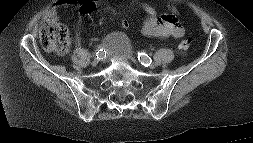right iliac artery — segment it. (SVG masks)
<instances>
[{
  "mask_svg": "<svg viewBox=\"0 0 253 143\" xmlns=\"http://www.w3.org/2000/svg\"><path fill=\"white\" fill-rule=\"evenodd\" d=\"M102 52H103V48H100V49L97 51V53H96L97 58H99V56H101L100 54H102Z\"/></svg>",
  "mask_w": 253,
  "mask_h": 143,
  "instance_id": "right-iliac-artery-1",
  "label": "right iliac artery"
}]
</instances>
